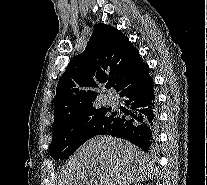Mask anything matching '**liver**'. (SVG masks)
I'll use <instances>...</instances> for the list:
<instances>
[{"label":"liver","instance_id":"liver-1","mask_svg":"<svg viewBox=\"0 0 207 185\" xmlns=\"http://www.w3.org/2000/svg\"><path fill=\"white\" fill-rule=\"evenodd\" d=\"M148 157L139 147L116 137H94L66 161L62 185L92 179L94 185H134L152 177Z\"/></svg>","mask_w":207,"mask_h":185}]
</instances>
